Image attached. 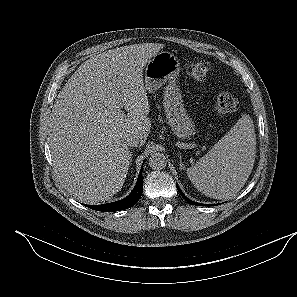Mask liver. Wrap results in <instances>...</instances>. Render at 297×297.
Here are the masks:
<instances>
[{"label": "liver", "mask_w": 297, "mask_h": 297, "mask_svg": "<svg viewBox=\"0 0 297 297\" xmlns=\"http://www.w3.org/2000/svg\"><path fill=\"white\" fill-rule=\"evenodd\" d=\"M163 46L135 44L93 56L59 92L49 147L59 182L80 202H105L121 190L131 160L126 138L137 135L143 145L151 128L143 68Z\"/></svg>", "instance_id": "liver-1"}]
</instances>
